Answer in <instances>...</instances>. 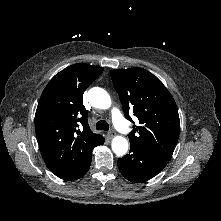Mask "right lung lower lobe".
I'll use <instances>...</instances> for the list:
<instances>
[{
    "label": "right lung lower lobe",
    "mask_w": 221,
    "mask_h": 221,
    "mask_svg": "<svg viewBox=\"0 0 221 221\" xmlns=\"http://www.w3.org/2000/svg\"><path fill=\"white\" fill-rule=\"evenodd\" d=\"M104 143V138L99 142L98 145H102ZM97 145V146H98ZM92 159V151L82 158L70 163L64 169L54 173L57 177L63 180H76L84 176L89 170Z\"/></svg>",
    "instance_id": "right-lung-lower-lobe-1"
}]
</instances>
